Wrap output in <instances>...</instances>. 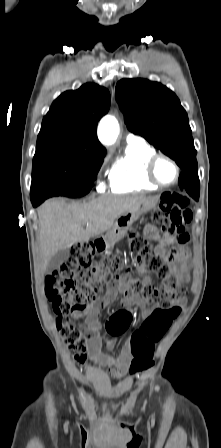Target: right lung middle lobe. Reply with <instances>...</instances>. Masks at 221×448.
<instances>
[{
	"label": "right lung middle lobe",
	"mask_w": 221,
	"mask_h": 448,
	"mask_svg": "<svg viewBox=\"0 0 221 448\" xmlns=\"http://www.w3.org/2000/svg\"><path fill=\"white\" fill-rule=\"evenodd\" d=\"M104 156L69 145L36 148L31 190L81 197L91 190Z\"/></svg>",
	"instance_id": "1"
}]
</instances>
